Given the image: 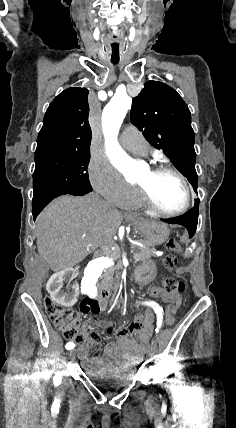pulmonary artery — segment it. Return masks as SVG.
Segmentation results:
<instances>
[{
	"label": "pulmonary artery",
	"mask_w": 236,
	"mask_h": 428,
	"mask_svg": "<svg viewBox=\"0 0 236 428\" xmlns=\"http://www.w3.org/2000/svg\"><path fill=\"white\" fill-rule=\"evenodd\" d=\"M124 147L127 150H129L131 152H134V153H138V154H146L147 151H148L147 146H145V145H138V144L131 143V142H126L124 144Z\"/></svg>",
	"instance_id": "e3ab8cb5"
}]
</instances>
